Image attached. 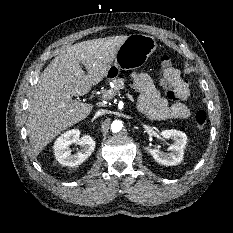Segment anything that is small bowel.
<instances>
[{
  "label": "small bowel",
  "mask_w": 233,
  "mask_h": 233,
  "mask_svg": "<svg viewBox=\"0 0 233 233\" xmlns=\"http://www.w3.org/2000/svg\"><path fill=\"white\" fill-rule=\"evenodd\" d=\"M131 84L139 91L138 106L141 112L149 118L157 120L188 119L190 110L186 105L190 90L188 83L182 78L176 84L181 99L170 104L155 87L151 77L143 72L131 74Z\"/></svg>",
  "instance_id": "1"
}]
</instances>
